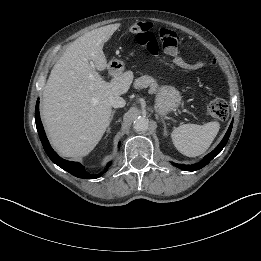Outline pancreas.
Masks as SVG:
<instances>
[{
  "instance_id": "obj_1",
  "label": "pancreas",
  "mask_w": 261,
  "mask_h": 261,
  "mask_svg": "<svg viewBox=\"0 0 261 261\" xmlns=\"http://www.w3.org/2000/svg\"><path fill=\"white\" fill-rule=\"evenodd\" d=\"M134 87L139 89V88H147L149 87L150 93H155L158 89V84L154 78L151 76H142L138 79H136L134 83Z\"/></svg>"
}]
</instances>
